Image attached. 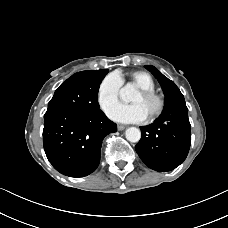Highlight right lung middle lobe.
I'll return each instance as SVG.
<instances>
[{
	"mask_svg": "<svg viewBox=\"0 0 228 228\" xmlns=\"http://www.w3.org/2000/svg\"><path fill=\"white\" fill-rule=\"evenodd\" d=\"M107 73V69L75 73L55 91L48 103L47 111L94 112L98 110L97 94L101 81Z\"/></svg>",
	"mask_w": 228,
	"mask_h": 228,
	"instance_id": "dd1d6c3e",
	"label": "right lung middle lobe"
}]
</instances>
